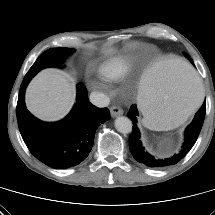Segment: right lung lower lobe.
<instances>
[{
	"label": "right lung lower lobe",
	"mask_w": 215,
	"mask_h": 215,
	"mask_svg": "<svg viewBox=\"0 0 215 215\" xmlns=\"http://www.w3.org/2000/svg\"><path fill=\"white\" fill-rule=\"evenodd\" d=\"M30 80V77H24L16 109L19 130L26 146L38 160L51 168L78 165L91 151L98 126L110 118L109 110L91 104L87 89L80 83L77 102L70 114L59 122H42L27 110L24 103Z\"/></svg>",
	"instance_id": "1"
}]
</instances>
